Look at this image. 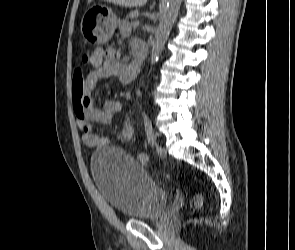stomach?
Wrapping results in <instances>:
<instances>
[{"instance_id": "obj_1", "label": "stomach", "mask_w": 295, "mask_h": 250, "mask_svg": "<svg viewBox=\"0 0 295 250\" xmlns=\"http://www.w3.org/2000/svg\"><path fill=\"white\" fill-rule=\"evenodd\" d=\"M118 24V18L110 8L95 4L83 15L81 33L90 45H107Z\"/></svg>"}]
</instances>
